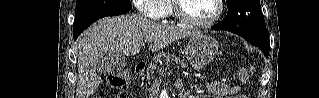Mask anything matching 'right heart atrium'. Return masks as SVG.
<instances>
[{
    "mask_svg": "<svg viewBox=\"0 0 319 98\" xmlns=\"http://www.w3.org/2000/svg\"><path fill=\"white\" fill-rule=\"evenodd\" d=\"M159 2L157 0H135L134 3L138 10L146 17L151 19H159L163 17L162 12L154 7L156 3Z\"/></svg>",
    "mask_w": 319,
    "mask_h": 98,
    "instance_id": "d8ad5b80",
    "label": "right heart atrium"
}]
</instances>
